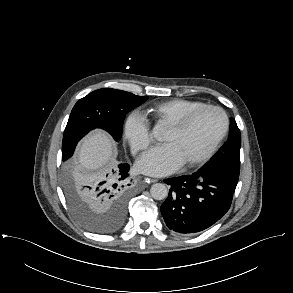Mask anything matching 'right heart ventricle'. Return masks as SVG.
Instances as JSON below:
<instances>
[{"mask_svg": "<svg viewBox=\"0 0 293 293\" xmlns=\"http://www.w3.org/2000/svg\"><path fill=\"white\" fill-rule=\"evenodd\" d=\"M206 105L200 101L187 99H171L148 107L145 114L156 123L169 126L187 113Z\"/></svg>", "mask_w": 293, "mask_h": 293, "instance_id": "obj_1", "label": "right heart ventricle"}]
</instances>
